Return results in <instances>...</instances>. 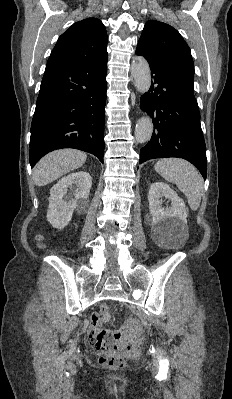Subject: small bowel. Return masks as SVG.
I'll return each mask as SVG.
<instances>
[{
    "mask_svg": "<svg viewBox=\"0 0 232 399\" xmlns=\"http://www.w3.org/2000/svg\"><path fill=\"white\" fill-rule=\"evenodd\" d=\"M110 317L111 315L109 306L103 304L101 305L99 311L92 316V320L90 322H81L79 323V327L87 331L97 330L101 328L105 322L109 321Z\"/></svg>",
    "mask_w": 232,
    "mask_h": 399,
    "instance_id": "small-bowel-1",
    "label": "small bowel"
}]
</instances>
